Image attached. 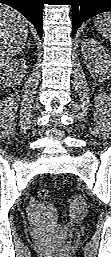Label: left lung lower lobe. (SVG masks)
Here are the masks:
<instances>
[{
    "instance_id": "0a47b994",
    "label": "left lung lower lobe",
    "mask_w": 111,
    "mask_h": 257,
    "mask_svg": "<svg viewBox=\"0 0 111 257\" xmlns=\"http://www.w3.org/2000/svg\"><path fill=\"white\" fill-rule=\"evenodd\" d=\"M72 2L73 34L83 22L101 12L111 11V0H73Z\"/></svg>"
}]
</instances>
